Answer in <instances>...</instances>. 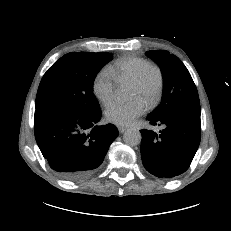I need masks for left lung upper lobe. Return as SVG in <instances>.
Listing matches in <instances>:
<instances>
[{"label":"left lung upper lobe","mask_w":231,"mask_h":231,"mask_svg":"<svg viewBox=\"0 0 231 231\" xmlns=\"http://www.w3.org/2000/svg\"><path fill=\"white\" fill-rule=\"evenodd\" d=\"M146 55L157 62L164 78L162 102L149 116L163 117L187 110L200 111L197 88L182 61L166 50L147 51Z\"/></svg>","instance_id":"obj_1"}]
</instances>
